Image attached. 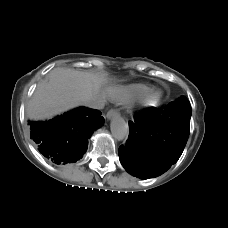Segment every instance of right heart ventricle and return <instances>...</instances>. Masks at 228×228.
<instances>
[{"mask_svg": "<svg viewBox=\"0 0 228 228\" xmlns=\"http://www.w3.org/2000/svg\"><path fill=\"white\" fill-rule=\"evenodd\" d=\"M149 90L150 87L146 84H129L116 88L111 94V99L117 103H128L139 98Z\"/></svg>", "mask_w": 228, "mask_h": 228, "instance_id": "right-heart-ventricle-1", "label": "right heart ventricle"}]
</instances>
